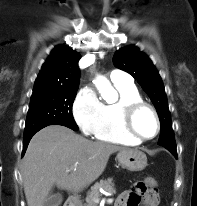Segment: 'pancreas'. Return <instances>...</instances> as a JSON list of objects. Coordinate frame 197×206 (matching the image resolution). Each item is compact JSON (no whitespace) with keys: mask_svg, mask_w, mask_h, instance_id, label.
Masks as SVG:
<instances>
[{"mask_svg":"<svg viewBox=\"0 0 197 206\" xmlns=\"http://www.w3.org/2000/svg\"><path fill=\"white\" fill-rule=\"evenodd\" d=\"M99 188H103L104 190L115 193L114 184L112 182V178H108L106 180H101L100 182L94 185V188L88 192L84 206H97V203L100 200V192Z\"/></svg>","mask_w":197,"mask_h":206,"instance_id":"pancreas-1","label":"pancreas"}]
</instances>
